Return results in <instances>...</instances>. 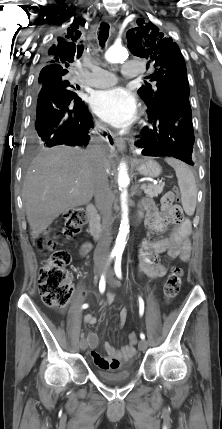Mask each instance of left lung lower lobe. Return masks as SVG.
I'll list each match as a JSON object with an SVG mask.
<instances>
[{
  "label": "left lung lower lobe",
  "mask_w": 222,
  "mask_h": 429,
  "mask_svg": "<svg viewBox=\"0 0 222 429\" xmlns=\"http://www.w3.org/2000/svg\"><path fill=\"white\" fill-rule=\"evenodd\" d=\"M151 129H142L136 142L144 156H169L194 165L191 155L194 144L192 111L189 97L168 94L157 108L148 107Z\"/></svg>",
  "instance_id": "0a47b994"
}]
</instances>
